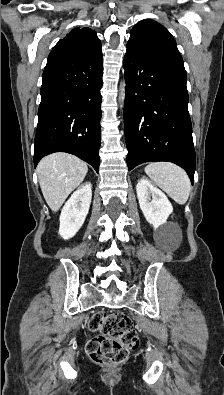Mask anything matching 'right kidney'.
<instances>
[{"mask_svg":"<svg viewBox=\"0 0 224 395\" xmlns=\"http://www.w3.org/2000/svg\"><path fill=\"white\" fill-rule=\"evenodd\" d=\"M92 185L86 183L77 189L65 203L60 215L59 235L67 240L82 227L89 211Z\"/></svg>","mask_w":224,"mask_h":395,"instance_id":"1","label":"right kidney"}]
</instances>
